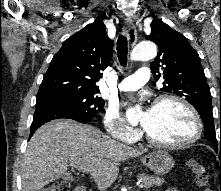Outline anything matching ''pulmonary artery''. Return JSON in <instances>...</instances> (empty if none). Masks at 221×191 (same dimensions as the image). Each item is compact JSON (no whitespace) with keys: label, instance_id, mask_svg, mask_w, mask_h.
I'll return each instance as SVG.
<instances>
[{"label":"pulmonary artery","instance_id":"e3ab8cb5","mask_svg":"<svg viewBox=\"0 0 221 191\" xmlns=\"http://www.w3.org/2000/svg\"><path fill=\"white\" fill-rule=\"evenodd\" d=\"M150 79V71L147 67H141L137 71L118 83L117 89L120 91H135L141 88Z\"/></svg>","mask_w":221,"mask_h":191}]
</instances>
